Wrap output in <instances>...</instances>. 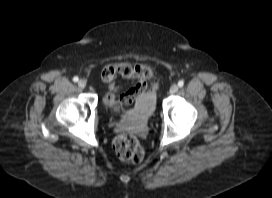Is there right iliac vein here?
Returning a JSON list of instances; mask_svg holds the SVG:
<instances>
[{
  "label": "right iliac vein",
  "instance_id": "right-iliac-vein-1",
  "mask_svg": "<svg viewBox=\"0 0 272 198\" xmlns=\"http://www.w3.org/2000/svg\"><path fill=\"white\" fill-rule=\"evenodd\" d=\"M86 85H87V83H86V81L84 79H81V80L78 81V86L80 88H85Z\"/></svg>",
  "mask_w": 272,
  "mask_h": 198
}]
</instances>
